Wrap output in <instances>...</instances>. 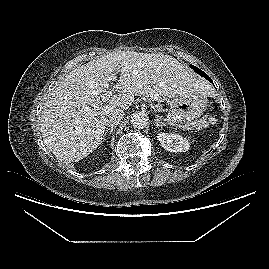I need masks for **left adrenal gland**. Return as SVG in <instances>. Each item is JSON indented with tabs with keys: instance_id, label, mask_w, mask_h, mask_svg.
Segmentation results:
<instances>
[{
	"instance_id": "left-adrenal-gland-1",
	"label": "left adrenal gland",
	"mask_w": 269,
	"mask_h": 269,
	"mask_svg": "<svg viewBox=\"0 0 269 269\" xmlns=\"http://www.w3.org/2000/svg\"><path fill=\"white\" fill-rule=\"evenodd\" d=\"M154 122H155V126L157 128L166 126V124L164 122H162L158 116L154 119Z\"/></svg>"
}]
</instances>
